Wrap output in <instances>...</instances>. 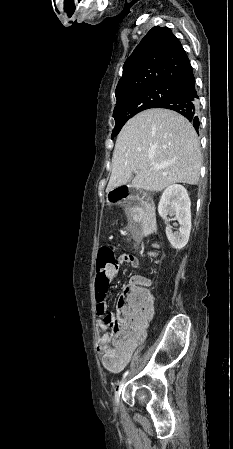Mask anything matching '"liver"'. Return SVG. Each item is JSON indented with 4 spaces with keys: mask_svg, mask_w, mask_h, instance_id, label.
<instances>
[{
    "mask_svg": "<svg viewBox=\"0 0 233 449\" xmlns=\"http://www.w3.org/2000/svg\"><path fill=\"white\" fill-rule=\"evenodd\" d=\"M200 167V144L192 124L175 111L148 109L120 131L106 192L125 185L133 172L136 189L159 192L175 183L196 185Z\"/></svg>",
    "mask_w": 233,
    "mask_h": 449,
    "instance_id": "obj_1",
    "label": "liver"
}]
</instances>
